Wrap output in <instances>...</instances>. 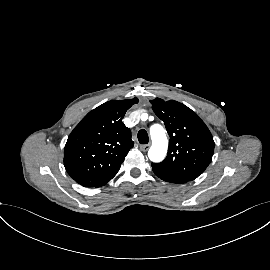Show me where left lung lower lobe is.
Masks as SVG:
<instances>
[{"instance_id":"obj_1","label":"left lung lower lobe","mask_w":270,"mask_h":270,"mask_svg":"<svg viewBox=\"0 0 270 270\" xmlns=\"http://www.w3.org/2000/svg\"><path fill=\"white\" fill-rule=\"evenodd\" d=\"M154 173L162 180L166 181V182H171V183H178V184H183V183H187L189 182L188 180L182 178V177H178L172 174H168V173H164V172H160L157 171L155 169H153Z\"/></svg>"}]
</instances>
